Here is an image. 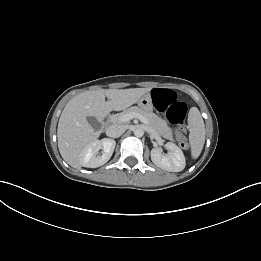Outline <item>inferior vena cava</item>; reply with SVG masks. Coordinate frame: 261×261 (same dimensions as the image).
Returning <instances> with one entry per match:
<instances>
[{"instance_id":"obj_1","label":"inferior vena cava","mask_w":261,"mask_h":261,"mask_svg":"<svg viewBox=\"0 0 261 261\" xmlns=\"http://www.w3.org/2000/svg\"><path fill=\"white\" fill-rule=\"evenodd\" d=\"M126 130V127L122 124H113L106 129V135L111 138H118Z\"/></svg>"}]
</instances>
